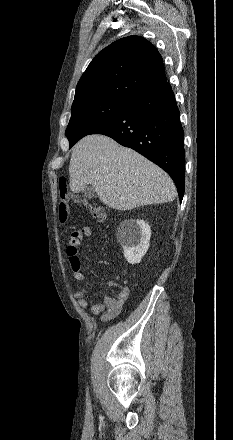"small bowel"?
I'll return each instance as SVG.
<instances>
[{
	"instance_id": "small-bowel-1",
	"label": "small bowel",
	"mask_w": 233,
	"mask_h": 440,
	"mask_svg": "<svg viewBox=\"0 0 233 440\" xmlns=\"http://www.w3.org/2000/svg\"><path fill=\"white\" fill-rule=\"evenodd\" d=\"M92 236V229L89 226L81 227L74 231L69 239V244L66 253L69 257L70 267L73 277L78 281H85L86 276L82 271V264L79 258V247L84 238ZM106 285L111 288H117L119 293L113 297L107 294L102 295L100 302H95L90 308L92 316H98L102 313L101 319L106 322L116 318L122 311L123 304L129 296V288L126 285H121L116 281L109 280ZM74 297L78 300L80 308L86 309L88 306L87 291L82 289L74 293Z\"/></svg>"
}]
</instances>
